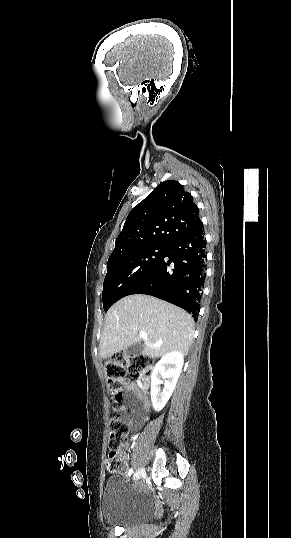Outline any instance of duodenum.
<instances>
[{
  "instance_id": "duodenum-1",
  "label": "duodenum",
  "mask_w": 291,
  "mask_h": 538,
  "mask_svg": "<svg viewBox=\"0 0 291 538\" xmlns=\"http://www.w3.org/2000/svg\"><path fill=\"white\" fill-rule=\"evenodd\" d=\"M141 384H142L143 387L148 388V387L151 386L152 381H151L150 378H148V377H146V376H143V379H142V381H141Z\"/></svg>"
}]
</instances>
